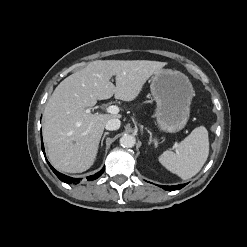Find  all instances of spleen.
<instances>
[{
	"label": "spleen",
	"instance_id": "spleen-1",
	"mask_svg": "<svg viewBox=\"0 0 247 247\" xmlns=\"http://www.w3.org/2000/svg\"><path fill=\"white\" fill-rule=\"evenodd\" d=\"M178 152L165 151L159 162L170 172L186 180L195 176L209 155L208 131L204 126L195 128L178 145Z\"/></svg>",
	"mask_w": 247,
	"mask_h": 247
}]
</instances>
